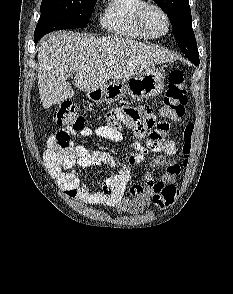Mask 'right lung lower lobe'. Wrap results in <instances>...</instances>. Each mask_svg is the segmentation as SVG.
<instances>
[{"label": "right lung lower lobe", "mask_w": 233, "mask_h": 294, "mask_svg": "<svg viewBox=\"0 0 233 294\" xmlns=\"http://www.w3.org/2000/svg\"><path fill=\"white\" fill-rule=\"evenodd\" d=\"M39 39H35L34 42L36 43Z\"/></svg>", "instance_id": "1"}]
</instances>
